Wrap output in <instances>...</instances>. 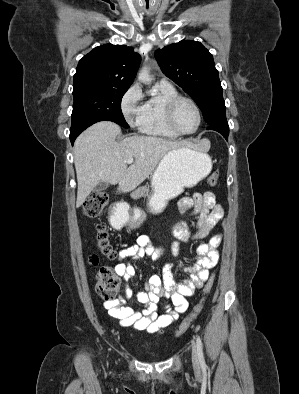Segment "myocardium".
Listing matches in <instances>:
<instances>
[{
  "instance_id": "obj_1",
  "label": "myocardium",
  "mask_w": 299,
  "mask_h": 394,
  "mask_svg": "<svg viewBox=\"0 0 299 394\" xmlns=\"http://www.w3.org/2000/svg\"><path fill=\"white\" fill-rule=\"evenodd\" d=\"M183 101L191 104L193 106V108L195 109L197 116H198L197 126L193 131H190V132H185V131L180 130L175 123L176 108ZM164 119H165V123H166L167 127L171 131L176 133L177 135H192V134L196 133L199 130V128L201 127L202 112H201L199 106L197 105V103L193 99H191L189 97L178 95V96L170 99L168 102H166V104L164 106Z\"/></svg>"
}]
</instances>
